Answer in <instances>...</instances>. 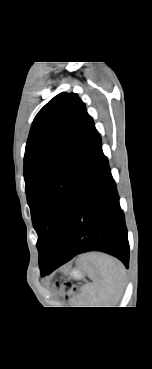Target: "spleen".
Masks as SVG:
<instances>
[{
    "mask_svg": "<svg viewBox=\"0 0 152 369\" xmlns=\"http://www.w3.org/2000/svg\"><path fill=\"white\" fill-rule=\"evenodd\" d=\"M85 267L93 283L83 286L77 305L113 307L123 293L124 266L106 254H90Z\"/></svg>",
    "mask_w": 152,
    "mask_h": 369,
    "instance_id": "3e777b00",
    "label": "spleen"
}]
</instances>
